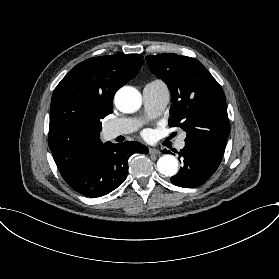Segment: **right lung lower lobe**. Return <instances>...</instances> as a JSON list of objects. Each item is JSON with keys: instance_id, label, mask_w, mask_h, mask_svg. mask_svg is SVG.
Here are the masks:
<instances>
[{"instance_id": "right-lung-lower-lobe-1", "label": "right lung lower lobe", "mask_w": 279, "mask_h": 279, "mask_svg": "<svg viewBox=\"0 0 279 279\" xmlns=\"http://www.w3.org/2000/svg\"><path fill=\"white\" fill-rule=\"evenodd\" d=\"M133 153H148L147 147L137 141L119 144L105 143L87 163L64 180L78 193L96 198L104 196L127 177L128 158Z\"/></svg>"}]
</instances>
